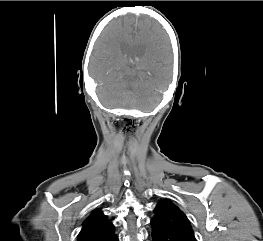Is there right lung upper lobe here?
Listing matches in <instances>:
<instances>
[{
	"label": "right lung upper lobe",
	"instance_id": "obj_1",
	"mask_svg": "<svg viewBox=\"0 0 263 241\" xmlns=\"http://www.w3.org/2000/svg\"><path fill=\"white\" fill-rule=\"evenodd\" d=\"M115 236L114 225L98 209L83 222L78 241H113Z\"/></svg>",
	"mask_w": 263,
	"mask_h": 241
}]
</instances>
